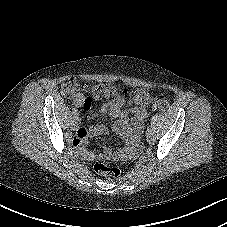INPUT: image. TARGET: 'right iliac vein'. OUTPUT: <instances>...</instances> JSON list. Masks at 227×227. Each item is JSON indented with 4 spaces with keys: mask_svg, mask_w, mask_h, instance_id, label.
Here are the masks:
<instances>
[{
    "mask_svg": "<svg viewBox=\"0 0 227 227\" xmlns=\"http://www.w3.org/2000/svg\"><path fill=\"white\" fill-rule=\"evenodd\" d=\"M78 128V121L74 122L72 125H71V129L72 130H76Z\"/></svg>",
    "mask_w": 227,
    "mask_h": 227,
    "instance_id": "right-iliac-vein-1",
    "label": "right iliac vein"
}]
</instances>
